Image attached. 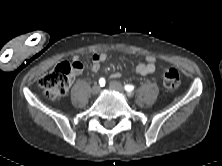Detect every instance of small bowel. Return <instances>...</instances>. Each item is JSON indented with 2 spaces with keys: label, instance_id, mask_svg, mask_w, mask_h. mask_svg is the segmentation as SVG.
Returning a JSON list of instances; mask_svg holds the SVG:
<instances>
[{
  "label": "small bowel",
  "instance_id": "1",
  "mask_svg": "<svg viewBox=\"0 0 222 166\" xmlns=\"http://www.w3.org/2000/svg\"><path fill=\"white\" fill-rule=\"evenodd\" d=\"M107 60V54L104 52H97L92 55V65L91 69L93 72H98L101 69L102 64ZM73 63H80L79 58L75 56L73 58ZM82 65V64H81ZM157 65H156V59L153 56H147L145 58V61L140 62L135 67V71L137 74L144 76L147 74H152L156 71ZM82 68L76 70V73H80ZM120 73L116 72L112 75L114 78L120 77Z\"/></svg>",
  "mask_w": 222,
  "mask_h": 166
}]
</instances>
